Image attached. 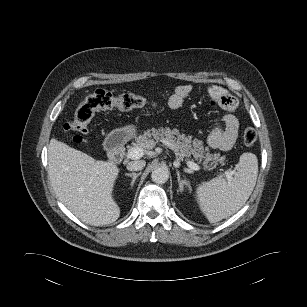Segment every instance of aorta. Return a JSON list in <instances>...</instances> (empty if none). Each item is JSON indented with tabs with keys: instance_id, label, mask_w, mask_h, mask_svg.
<instances>
[{
	"instance_id": "762f6f07",
	"label": "aorta",
	"mask_w": 307,
	"mask_h": 307,
	"mask_svg": "<svg viewBox=\"0 0 307 307\" xmlns=\"http://www.w3.org/2000/svg\"><path fill=\"white\" fill-rule=\"evenodd\" d=\"M151 178L153 182L157 184H163L167 182L169 178V172L168 169L165 167H156L151 174Z\"/></svg>"
}]
</instances>
